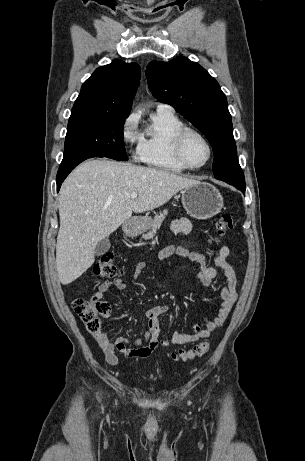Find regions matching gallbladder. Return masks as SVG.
<instances>
[{
  "label": "gallbladder",
  "mask_w": 305,
  "mask_h": 461,
  "mask_svg": "<svg viewBox=\"0 0 305 461\" xmlns=\"http://www.w3.org/2000/svg\"><path fill=\"white\" fill-rule=\"evenodd\" d=\"M110 247H111L110 240H109L108 237H106V238L102 239L101 241H99L98 244L96 245L95 254L97 256H101V255L105 254L106 252H108Z\"/></svg>",
  "instance_id": "1"
}]
</instances>
